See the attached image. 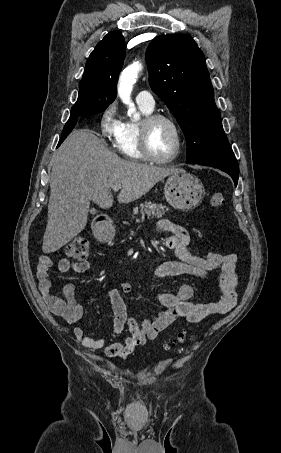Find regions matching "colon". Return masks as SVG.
Returning a JSON list of instances; mask_svg holds the SVG:
<instances>
[{"mask_svg":"<svg viewBox=\"0 0 281 453\" xmlns=\"http://www.w3.org/2000/svg\"><path fill=\"white\" fill-rule=\"evenodd\" d=\"M224 196L221 192H215L209 196V204L213 208H220L224 205ZM89 259L88 254V241L85 238H75L67 246L65 252V260L68 262H87ZM186 334H180L178 340L170 345L166 346V349L170 350L176 346L186 344Z\"/></svg>","mask_w":281,"mask_h":453,"instance_id":"1","label":"colon"}]
</instances>
